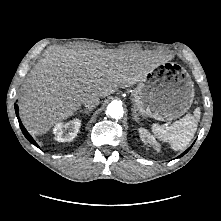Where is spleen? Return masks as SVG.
Masks as SVG:
<instances>
[{"instance_id": "1", "label": "spleen", "mask_w": 221, "mask_h": 221, "mask_svg": "<svg viewBox=\"0 0 221 221\" xmlns=\"http://www.w3.org/2000/svg\"><path fill=\"white\" fill-rule=\"evenodd\" d=\"M199 117L200 109L196 108L194 115L187 114L170 126L153 124L152 132L159 140L169 143L173 150H182L194 137Z\"/></svg>"}]
</instances>
